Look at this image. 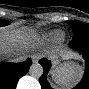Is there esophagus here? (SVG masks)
Segmentation results:
<instances>
[{
	"label": "esophagus",
	"mask_w": 89,
	"mask_h": 89,
	"mask_svg": "<svg viewBox=\"0 0 89 89\" xmlns=\"http://www.w3.org/2000/svg\"><path fill=\"white\" fill-rule=\"evenodd\" d=\"M32 60H33V62L37 63L39 60V55H37V54L32 55Z\"/></svg>",
	"instance_id": "34e87169"
}]
</instances>
